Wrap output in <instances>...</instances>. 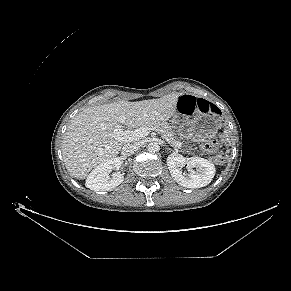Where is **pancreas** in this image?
I'll use <instances>...</instances> for the list:
<instances>
[{
  "label": "pancreas",
  "mask_w": 291,
  "mask_h": 291,
  "mask_svg": "<svg viewBox=\"0 0 291 291\" xmlns=\"http://www.w3.org/2000/svg\"><path fill=\"white\" fill-rule=\"evenodd\" d=\"M145 126L152 128L157 131L158 134L161 135L163 139H165L168 144L172 147L176 148L177 143H180V140L176 138V134L172 127L167 122H156L151 124H146Z\"/></svg>",
  "instance_id": "obj_1"
}]
</instances>
